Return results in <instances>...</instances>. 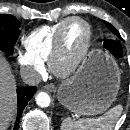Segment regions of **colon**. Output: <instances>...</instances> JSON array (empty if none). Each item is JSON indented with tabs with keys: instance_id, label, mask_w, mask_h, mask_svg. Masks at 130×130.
<instances>
[{
	"instance_id": "obj_1",
	"label": "colon",
	"mask_w": 130,
	"mask_h": 130,
	"mask_svg": "<svg viewBox=\"0 0 130 130\" xmlns=\"http://www.w3.org/2000/svg\"><path fill=\"white\" fill-rule=\"evenodd\" d=\"M104 47L114 56L121 54V47L112 39H106L104 41Z\"/></svg>"
}]
</instances>
